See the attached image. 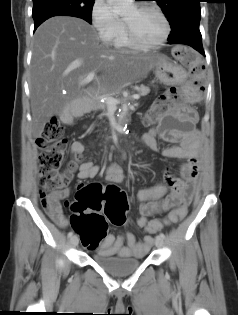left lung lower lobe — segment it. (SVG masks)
<instances>
[{"label": "left lung lower lobe", "instance_id": "1", "mask_svg": "<svg viewBox=\"0 0 238 315\" xmlns=\"http://www.w3.org/2000/svg\"><path fill=\"white\" fill-rule=\"evenodd\" d=\"M168 40L169 44H186L205 55L202 46V36L199 30V25L189 26L178 33L176 36L168 38Z\"/></svg>", "mask_w": 238, "mask_h": 315}]
</instances>
